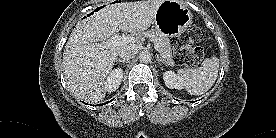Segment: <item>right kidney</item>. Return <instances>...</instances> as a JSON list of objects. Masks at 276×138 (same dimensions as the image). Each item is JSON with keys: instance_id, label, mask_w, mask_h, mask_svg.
Wrapping results in <instances>:
<instances>
[{"instance_id": "1", "label": "right kidney", "mask_w": 276, "mask_h": 138, "mask_svg": "<svg viewBox=\"0 0 276 138\" xmlns=\"http://www.w3.org/2000/svg\"><path fill=\"white\" fill-rule=\"evenodd\" d=\"M123 70L121 68L114 69L105 81V89L108 92H113L118 89L122 82Z\"/></svg>"}]
</instances>
